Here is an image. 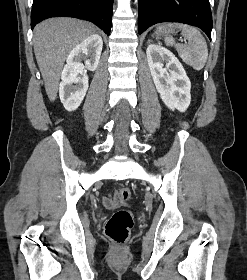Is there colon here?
Segmentation results:
<instances>
[{"label": "colon", "mask_w": 247, "mask_h": 280, "mask_svg": "<svg viewBox=\"0 0 247 280\" xmlns=\"http://www.w3.org/2000/svg\"><path fill=\"white\" fill-rule=\"evenodd\" d=\"M115 200L122 203L130 199L131 191L127 187L120 188L114 192ZM133 228V216L127 209H118L108 219L105 225V235L115 244L125 243Z\"/></svg>", "instance_id": "colon-1"}]
</instances>
